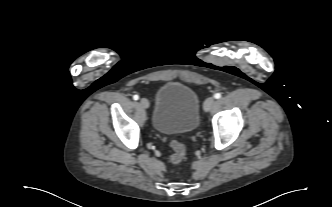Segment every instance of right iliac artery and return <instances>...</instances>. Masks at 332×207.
<instances>
[{
  "label": "right iliac artery",
  "mask_w": 332,
  "mask_h": 207,
  "mask_svg": "<svg viewBox=\"0 0 332 207\" xmlns=\"http://www.w3.org/2000/svg\"><path fill=\"white\" fill-rule=\"evenodd\" d=\"M133 99H134V100H138V99H139V96H138V95H134V96H133Z\"/></svg>",
  "instance_id": "82829eb1"
}]
</instances>
